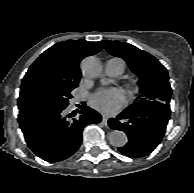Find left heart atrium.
Here are the masks:
<instances>
[{"instance_id":"1","label":"left heart atrium","mask_w":194,"mask_h":193,"mask_svg":"<svg viewBox=\"0 0 194 193\" xmlns=\"http://www.w3.org/2000/svg\"><path fill=\"white\" fill-rule=\"evenodd\" d=\"M125 104L124 93L116 88H103L98 90L91 100L94 109L104 114H114Z\"/></svg>"}]
</instances>
